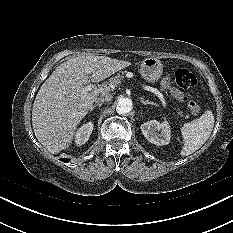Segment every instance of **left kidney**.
Returning <instances> with one entry per match:
<instances>
[{"label": "left kidney", "mask_w": 233, "mask_h": 233, "mask_svg": "<svg viewBox=\"0 0 233 233\" xmlns=\"http://www.w3.org/2000/svg\"><path fill=\"white\" fill-rule=\"evenodd\" d=\"M141 131L145 138L155 145H167L170 142L171 131L167 121L162 123L156 120L148 121L141 125Z\"/></svg>", "instance_id": "left-kidney-1"}]
</instances>
